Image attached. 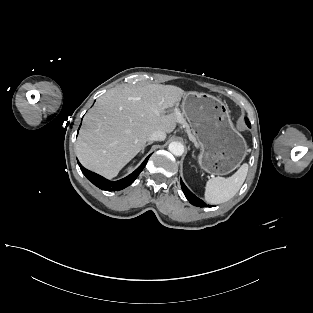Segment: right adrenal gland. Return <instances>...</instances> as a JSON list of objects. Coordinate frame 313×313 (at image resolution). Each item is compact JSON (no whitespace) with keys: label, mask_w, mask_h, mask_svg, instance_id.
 <instances>
[{"label":"right adrenal gland","mask_w":313,"mask_h":313,"mask_svg":"<svg viewBox=\"0 0 313 313\" xmlns=\"http://www.w3.org/2000/svg\"><path fill=\"white\" fill-rule=\"evenodd\" d=\"M153 142H148L147 144H145V146L142 148V150H141V153H143L144 152V150H145V148L148 146V145H150V144H152Z\"/></svg>","instance_id":"right-adrenal-gland-1"}]
</instances>
